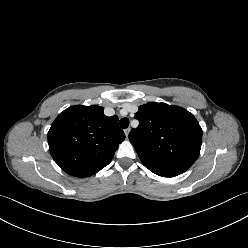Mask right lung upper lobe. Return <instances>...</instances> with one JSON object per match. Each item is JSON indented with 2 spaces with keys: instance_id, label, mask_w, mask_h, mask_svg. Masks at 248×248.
I'll return each mask as SVG.
<instances>
[{
  "instance_id": "cb5924a9",
  "label": "right lung upper lobe",
  "mask_w": 248,
  "mask_h": 248,
  "mask_svg": "<svg viewBox=\"0 0 248 248\" xmlns=\"http://www.w3.org/2000/svg\"><path fill=\"white\" fill-rule=\"evenodd\" d=\"M99 105L71 106L60 113L48 132L54 161L66 173L91 176L107 166L125 139L116 115L107 117Z\"/></svg>"
}]
</instances>
